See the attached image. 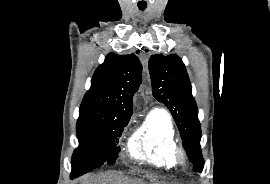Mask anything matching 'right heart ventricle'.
I'll return each instance as SVG.
<instances>
[{
    "label": "right heart ventricle",
    "instance_id": "1",
    "mask_svg": "<svg viewBox=\"0 0 270 184\" xmlns=\"http://www.w3.org/2000/svg\"><path fill=\"white\" fill-rule=\"evenodd\" d=\"M176 130L171 116L155 108L145 117L128 142L131 158L151 166L170 170L175 166Z\"/></svg>",
    "mask_w": 270,
    "mask_h": 184
}]
</instances>
